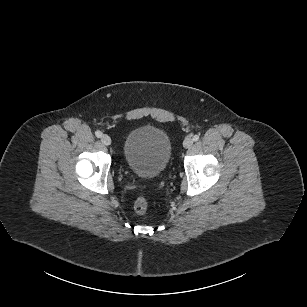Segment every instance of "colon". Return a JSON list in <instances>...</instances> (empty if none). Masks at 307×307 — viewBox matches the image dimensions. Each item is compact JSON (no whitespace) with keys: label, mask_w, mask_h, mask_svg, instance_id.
I'll use <instances>...</instances> for the list:
<instances>
[{"label":"colon","mask_w":307,"mask_h":307,"mask_svg":"<svg viewBox=\"0 0 307 307\" xmlns=\"http://www.w3.org/2000/svg\"><path fill=\"white\" fill-rule=\"evenodd\" d=\"M149 209V202L145 197H138L134 203V210L139 214H144Z\"/></svg>","instance_id":"5ec220e1"}]
</instances>
